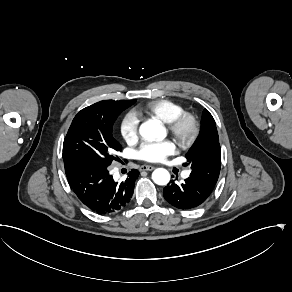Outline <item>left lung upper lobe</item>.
<instances>
[{
    "mask_svg": "<svg viewBox=\"0 0 292 292\" xmlns=\"http://www.w3.org/2000/svg\"><path fill=\"white\" fill-rule=\"evenodd\" d=\"M185 156L192 170L190 177L212 185L217 183L221 148L216 123L207 109L202 113L200 134Z\"/></svg>",
    "mask_w": 292,
    "mask_h": 292,
    "instance_id": "obj_1",
    "label": "left lung upper lobe"
}]
</instances>
